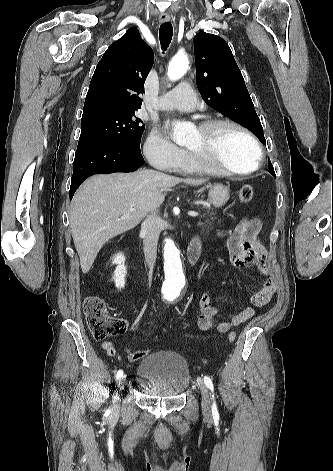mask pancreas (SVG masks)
Listing matches in <instances>:
<instances>
[{
    "label": "pancreas",
    "instance_id": "pancreas-1",
    "mask_svg": "<svg viewBox=\"0 0 333 471\" xmlns=\"http://www.w3.org/2000/svg\"><path fill=\"white\" fill-rule=\"evenodd\" d=\"M207 214L209 215V217L204 222H198V226L202 230L210 231V230H213L214 228V220L216 218L213 217L214 213L210 212L209 210H207ZM202 217L204 218L206 217V215H203Z\"/></svg>",
    "mask_w": 333,
    "mask_h": 471
}]
</instances>
